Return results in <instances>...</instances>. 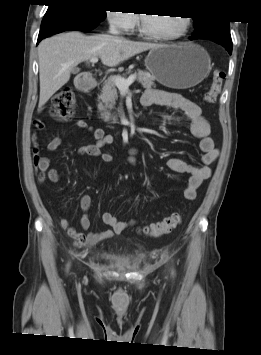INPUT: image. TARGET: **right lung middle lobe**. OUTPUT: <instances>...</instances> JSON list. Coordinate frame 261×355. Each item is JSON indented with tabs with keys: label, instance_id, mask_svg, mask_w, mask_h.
<instances>
[{
	"label": "right lung middle lobe",
	"instance_id": "1",
	"mask_svg": "<svg viewBox=\"0 0 261 355\" xmlns=\"http://www.w3.org/2000/svg\"><path fill=\"white\" fill-rule=\"evenodd\" d=\"M92 0H79V1H69L61 2L56 4H51L49 8L53 6L64 7L78 11L79 13L88 16L95 21H103L106 17V13L102 8H99Z\"/></svg>",
	"mask_w": 261,
	"mask_h": 355
}]
</instances>
